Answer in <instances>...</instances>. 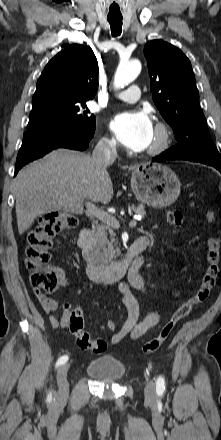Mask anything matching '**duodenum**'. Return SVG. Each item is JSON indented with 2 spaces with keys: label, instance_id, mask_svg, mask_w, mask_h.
Listing matches in <instances>:
<instances>
[{
  "label": "duodenum",
  "instance_id": "1",
  "mask_svg": "<svg viewBox=\"0 0 221 440\" xmlns=\"http://www.w3.org/2000/svg\"><path fill=\"white\" fill-rule=\"evenodd\" d=\"M89 237L90 230L82 228L78 236L79 244H85ZM147 245L148 242L145 239L139 238L132 243L123 258L106 264L99 263L97 260L89 263L86 267L88 278L95 282H113L121 279L132 269L139 271L144 264V260L140 255Z\"/></svg>",
  "mask_w": 221,
  "mask_h": 440
}]
</instances>
